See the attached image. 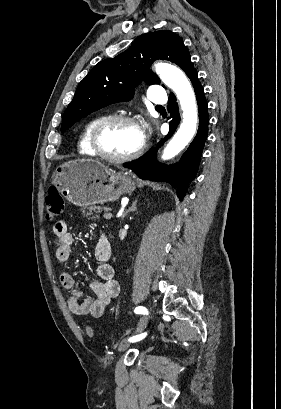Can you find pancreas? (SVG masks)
Returning <instances> with one entry per match:
<instances>
[{"label":"pancreas","instance_id":"1","mask_svg":"<svg viewBox=\"0 0 281 409\" xmlns=\"http://www.w3.org/2000/svg\"><path fill=\"white\" fill-rule=\"evenodd\" d=\"M102 211L107 212L108 207H88L85 217H87V219H100L99 213H102ZM94 213L95 217H91Z\"/></svg>","mask_w":281,"mask_h":409}]
</instances>
